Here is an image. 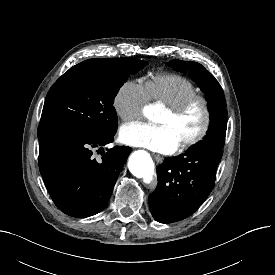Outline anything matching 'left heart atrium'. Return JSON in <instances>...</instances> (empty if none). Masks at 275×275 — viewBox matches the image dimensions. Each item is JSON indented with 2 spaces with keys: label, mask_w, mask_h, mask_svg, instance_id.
<instances>
[{
  "label": "left heart atrium",
  "mask_w": 275,
  "mask_h": 275,
  "mask_svg": "<svg viewBox=\"0 0 275 275\" xmlns=\"http://www.w3.org/2000/svg\"><path fill=\"white\" fill-rule=\"evenodd\" d=\"M120 139L128 145L146 147L162 153L174 152L179 146L169 126L145 122H134L122 126Z\"/></svg>",
  "instance_id": "39dd6f15"
}]
</instances>
